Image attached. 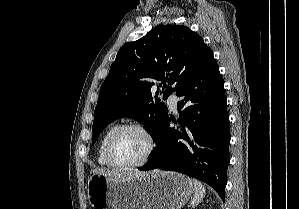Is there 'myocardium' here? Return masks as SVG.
<instances>
[{
	"mask_svg": "<svg viewBox=\"0 0 299 209\" xmlns=\"http://www.w3.org/2000/svg\"><path fill=\"white\" fill-rule=\"evenodd\" d=\"M126 130H135V131H138L139 133H141L144 136V138L146 139L147 149H146L143 157L140 160H138L137 162L127 164V165H119V164L114 163L112 160V148H113V143H114L115 139L118 137V135ZM155 148H156V140H155L153 133L143 124L136 123V122H130V123H126V124L118 126V128L115 131H113V133L109 136L107 144H106V148H105V159H106L107 165L112 169L130 170V169L138 168V167L145 165L149 161L151 156L153 155Z\"/></svg>",
	"mask_w": 299,
	"mask_h": 209,
	"instance_id": "f54148a6",
	"label": "myocardium"
}]
</instances>
